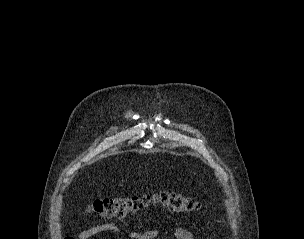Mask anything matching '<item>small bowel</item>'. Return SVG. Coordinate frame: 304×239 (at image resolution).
Segmentation results:
<instances>
[{"label": "small bowel", "instance_id": "small-bowel-1", "mask_svg": "<svg viewBox=\"0 0 304 239\" xmlns=\"http://www.w3.org/2000/svg\"><path fill=\"white\" fill-rule=\"evenodd\" d=\"M113 231L117 232L118 227L114 223H103L92 226L86 230H83L76 239H89L101 232ZM129 237L132 239H155L159 237V231L156 229L148 230L142 234L137 232H131ZM174 239H194L193 233L186 228H177L173 232ZM64 239H74L73 237H66Z\"/></svg>", "mask_w": 304, "mask_h": 239}]
</instances>
